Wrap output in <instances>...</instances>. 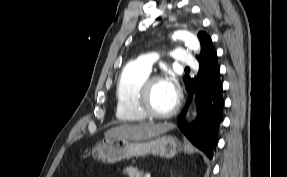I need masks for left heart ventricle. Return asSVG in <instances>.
<instances>
[{
  "mask_svg": "<svg viewBox=\"0 0 287 177\" xmlns=\"http://www.w3.org/2000/svg\"><path fill=\"white\" fill-rule=\"evenodd\" d=\"M176 93H174L164 82H156L151 91L150 102L153 110L156 112H167L175 104Z\"/></svg>",
  "mask_w": 287,
  "mask_h": 177,
  "instance_id": "1",
  "label": "left heart ventricle"
}]
</instances>
